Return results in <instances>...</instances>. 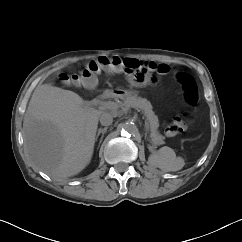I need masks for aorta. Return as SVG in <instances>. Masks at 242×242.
Instances as JSON below:
<instances>
[{
    "mask_svg": "<svg viewBox=\"0 0 242 242\" xmlns=\"http://www.w3.org/2000/svg\"><path fill=\"white\" fill-rule=\"evenodd\" d=\"M123 130L131 135H134L138 132L137 126L133 122H126L123 125Z\"/></svg>",
    "mask_w": 242,
    "mask_h": 242,
    "instance_id": "1",
    "label": "aorta"
}]
</instances>
